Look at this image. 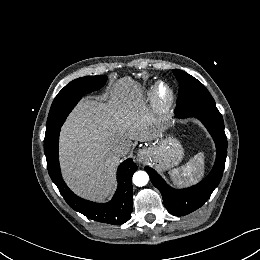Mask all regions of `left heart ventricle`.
Segmentation results:
<instances>
[{"mask_svg": "<svg viewBox=\"0 0 260 260\" xmlns=\"http://www.w3.org/2000/svg\"><path fill=\"white\" fill-rule=\"evenodd\" d=\"M159 95L162 100H165L168 98V92L163 87L160 88Z\"/></svg>", "mask_w": 260, "mask_h": 260, "instance_id": "obj_1", "label": "left heart ventricle"}]
</instances>
